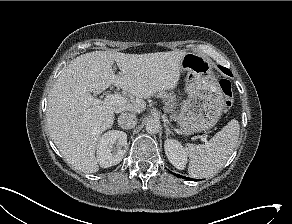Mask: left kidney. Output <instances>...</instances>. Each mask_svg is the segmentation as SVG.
<instances>
[{"instance_id": "left-kidney-1", "label": "left kidney", "mask_w": 292, "mask_h": 224, "mask_svg": "<svg viewBox=\"0 0 292 224\" xmlns=\"http://www.w3.org/2000/svg\"><path fill=\"white\" fill-rule=\"evenodd\" d=\"M164 149L170 163L177 169L184 170L187 164V152L181 143L175 139H167Z\"/></svg>"}]
</instances>
